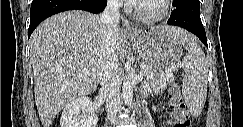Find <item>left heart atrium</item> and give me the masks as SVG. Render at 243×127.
<instances>
[{"label": "left heart atrium", "mask_w": 243, "mask_h": 127, "mask_svg": "<svg viewBox=\"0 0 243 127\" xmlns=\"http://www.w3.org/2000/svg\"><path fill=\"white\" fill-rule=\"evenodd\" d=\"M140 2H142V1H140V0H128L127 1V3L130 4V5H136V4L140 3Z\"/></svg>", "instance_id": "left-heart-atrium-1"}]
</instances>
